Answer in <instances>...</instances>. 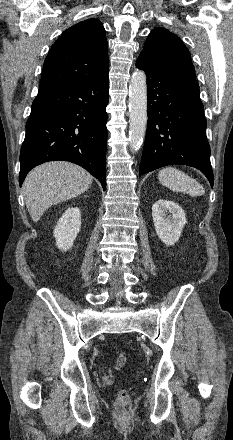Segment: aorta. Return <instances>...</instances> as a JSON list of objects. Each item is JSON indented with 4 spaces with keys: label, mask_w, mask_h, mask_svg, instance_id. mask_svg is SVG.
<instances>
[{
    "label": "aorta",
    "mask_w": 233,
    "mask_h": 440,
    "mask_svg": "<svg viewBox=\"0 0 233 440\" xmlns=\"http://www.w3.org/2000/svg\"><path fill=\"white\" fill-rule=\"evenodd\" d=\"M147 127V85L146 75L137 70L132 74L129 85V142L136 151L143 143Z\"/></svg>",
    "instance_id": "1"
}]
</instances>
